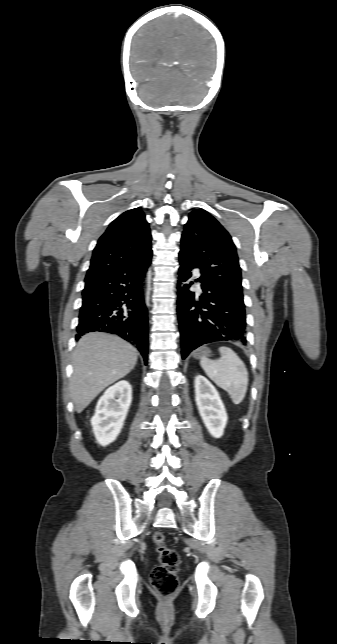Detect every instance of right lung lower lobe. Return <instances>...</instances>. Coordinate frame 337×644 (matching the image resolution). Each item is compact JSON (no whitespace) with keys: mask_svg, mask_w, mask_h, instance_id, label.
<instances>
[{"mask_svg":"<svg viewBox=\"0 0 337 644\" xmlns=\"http://www.w3.org/2000/svg\"><path fill=\"white\" fill-rule=\"evenodd\" d=\"M152 255L114 269L85 285L76 340L88 332H109L134 345L148 359V319L142 286Z\"/></svg>","mask_w":337,"mask_h":644,"instance_id":"obj_1","label":"right lung lower lobe"}]
</instances>
